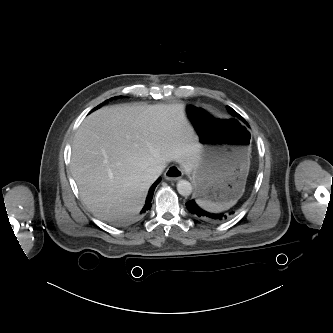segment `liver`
Wrapping results in <instances>:
<instances>
[{
	"instance_id": "1",
	"label": "liver",
	"mask_w": 333,
	"mask_h": 333,
	"mask_svg": "<svg viewBox=\"0 0 333 333\" xmlns=\"http://www.w3.org/2000/svg\"><path fill=\"white\" fill-rule=\"evenodd\" d=\"M201 144L182 104L104 107L75 133L71 171L90 211L108 221L132 220L154 180L150 167L176 161L192 172Z\"/></svg>"
}]
</instances>
